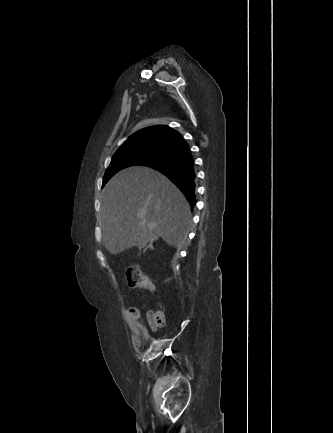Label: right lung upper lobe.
<instances>
[{
  "mask_svg": "<svg viewBox=\"0 0 333 433\" xmlns=\"http://www.w3.org/2000/svg\"><path fill=\"white\" fill-rule=\"evenodd\" d=\"M178 138H182V136L174 129L165 125H156L136 132L129 137L121 147L152 143L153 145H161L166 148H171V146H174V142L177 141ZM171 141L172 143L169 144Z\"/></svg>",
  "mask_w": 333,
  "mask_h": 433,
  "instance_id": "right-lung-upper-lobe-1",
  "label": "right lung upper lobe"
}]
</instances>
